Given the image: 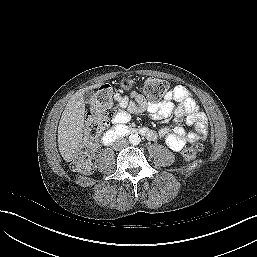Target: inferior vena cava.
Masks as SVG:
<instances>
[{"label":"inferior vena cava","instance_id":"obj_1","mask_svg":"<svg viewBox=\"0 0 257 257\" xmlns=\"http://www.w3.org/2000/svg\"><path fill=\"white\" fill-rule=\"evenodd\" d=\"M128 143V140H126L125 138H119L114 142L113 148L114 150H120L127 147Z\"/></svg>","mask_w":257,"mask_h":257}]
</instances>
